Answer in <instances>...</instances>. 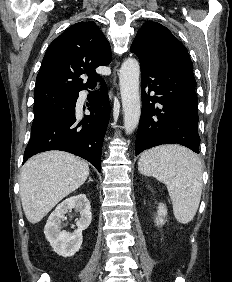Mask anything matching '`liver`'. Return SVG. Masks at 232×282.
Masks as SVG:
<instances>
[{
  "label": "liver",
  "mask_w": 232,
  "mask_h": 282,
  "mask_svg": "<svg viewBox=\"0 0 232 282\" xmlns=\"http://www.w3.org/2000/svg\"><path fill=\"white\" fill-rule=\"evenodd\" d=\"M89 176L87 162L62 151H48L30 158L20 176V197L27 220L38 223L64 197Z\"/></svg>",
  "instance_id": "obj_1"
}]
</instances>
